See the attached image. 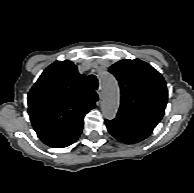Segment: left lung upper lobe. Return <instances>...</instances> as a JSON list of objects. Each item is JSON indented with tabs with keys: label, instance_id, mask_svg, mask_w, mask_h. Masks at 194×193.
I'll use <instances>...</instances> for the list:
<instances>
[{
	"label": "left lung upper lobe",
	"instance_id": "left-lung-upper-lobe-1",
	"mask_svg": "<svg viewBox=\"0 0 194 193\" xmlns=\"http://www.w3.org/2000/svg\"><path fill=\"white\" fill-rule=\"evenodd\" d=\"M121 89L117 115L156 126L164 115L168 91L162 75L139 59L120 60L110 67Z\"/></svg>",
	"mask_w": 194,
	"mask_h": 193
}]
</instances>
